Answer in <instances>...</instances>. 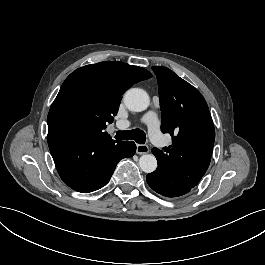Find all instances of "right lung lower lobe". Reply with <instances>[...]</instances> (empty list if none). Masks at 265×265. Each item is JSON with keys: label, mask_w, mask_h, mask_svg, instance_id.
I'll return each instance as SVG.
<instances>
[{"label": "right lung lower lobe", "mask_w": 265, "mask_h": 265, "mask_svg": "<svg viewBox=\"0 0 265 265\" xmlns=\"http://www.w3.org/2000/svg\"><path fill=\"white\" fill-rule=\"evenodd\" d=\"M47 140L61 179L81 193L102 188L117 163L136 152L134 142L113 140L110 136L49 132Z\"/></svg>", "instance_id": "right-lung-lower-lobe-1"}]
</instances>
